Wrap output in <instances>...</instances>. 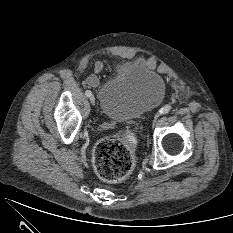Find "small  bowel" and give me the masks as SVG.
Wrapping results in <instances>:
<instances>
[{
	"instance_id": "small-bowel-1",
	"label": "small bowel",
	"mask_w": 233,
	"mask_h": 233,
	"mask_svg": "<svg viewBox=\"0 0 233 233\" xmlns=\"http://www.w3.org/2000/svg\"><path fill=\"white\" fill-rule=\"evenodd\" d=\"M103 70V64L101 62H97L95 64V72L96 73H100ZM87 83L92 86L95 87L98 84V77L97 75H91L88 77L87 79Z\"/></svg>"
}]
</instances>
